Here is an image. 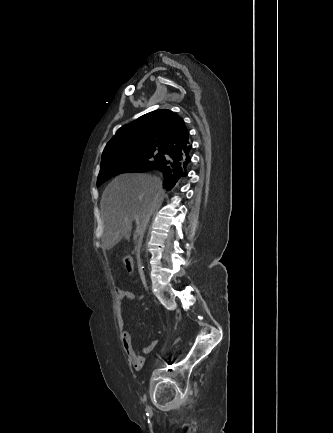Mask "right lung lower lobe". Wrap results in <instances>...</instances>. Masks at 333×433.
Segmentation results:
<instances>
[{
	"label": "right lung lower lobe",
	"mask_w": 333,
	"mask_h": 433,
	"mask_svg": "<svg viewBox=\"0 0 333 433\" xmlns=\"http://www.w3.org/2000/svg\"><path fill=\"white\" fill-rule=\"evenodd\" d=\"M192 145L171 150L167 152L169 158L164 157L152 169L159 170L164 178V188L170 190L177 182H180L188 174V167L191 162L190 150Z\"/></svg>",
	"instance_id": "98d812e1"
}]
</instances>
